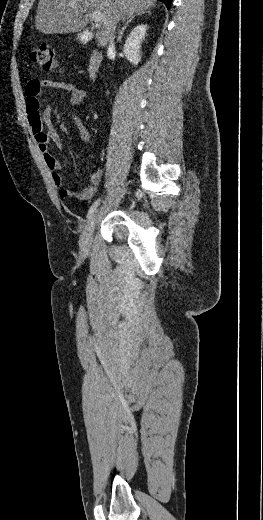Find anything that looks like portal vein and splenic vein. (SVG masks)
I'll return each mask as SVG.
<instances>
[{
    "label": "portal vein and splenic vein",
    "mask_w": 263,
    "mask_h": 520,
    "mask_svg": "<svg viewBox=\"0 0 263 520\" xmlns=\"http://www.w3.org/2000/svg\"><path fill=\"white\" fill-rule=\"evenodd\" d=\"M91 18L95 23H99L101 21V14L99 12H93Z\"/></svg>",
    "instance_id": "portal-vein-and-splenic-vein-1"
}]
</instances>
